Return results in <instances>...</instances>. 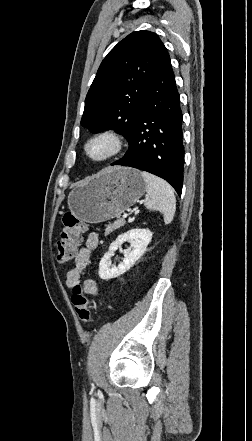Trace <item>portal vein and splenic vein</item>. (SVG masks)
<instances>
[{
	"label": "portal vein and splenic vein",
	"mask_w": 252,
	"mask_h": 441,
	"mask_svg": "<svg viewBox=\"0 0 252 441\" xmlns=\"http://www.w3.org/2000/svg\"><path fill=\"white\" fill-rule=\"evenodd\" d=\"M128 217V214H123L122 218L126 219Z\"/></svg>",
	"instance_id": "portal-vein-and-splenic-vein-1"
}]
</instances>
